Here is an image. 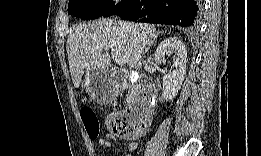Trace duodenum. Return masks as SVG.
Masks as SVG:
<instances>
[{"label":"duodenum","instance_id":"1","mask_svg":"<svg viewBox=\"0 0 261 156\" xmlns=\"http://www.w3.org/2000/svg\"><path fill=\"white\" fill-rule=\"evenodd\" d=\"M114 73L119 80L127 78L126 71L114 69ZM138 93L131 100V110L129 112V122L132 125L149 121L154 114V100L156 92L154 86L148 80H141Z\"/></svg>","mask_w":261,"mask_h":156}]
</instances>
